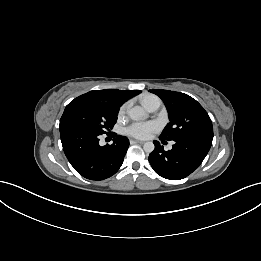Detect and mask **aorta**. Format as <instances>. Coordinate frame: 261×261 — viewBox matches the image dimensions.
Segmentation results:
<instances>
[{"instance_id":"aorta-1","label":"aorta","mask_w":261,"mask_h":261,"mask_svg":"<svg viewBox=\"0 0 261 261\" xmlns=\"http://www.w3.org/2000/svg\"><path fill=\"white\" fill-rule=\"evenodd\" d=\"M128 115L132 120L138 121L145 119L147 114L144 109L140 106H135L128 111ZM143 149L146 153H151L155 149V145L153 142H145L143 145Z\"/></svg>"}]
</instances>
